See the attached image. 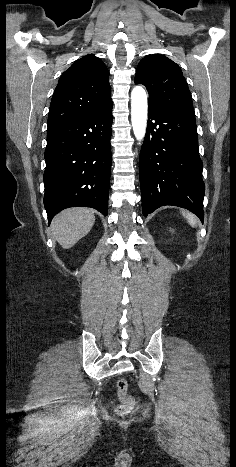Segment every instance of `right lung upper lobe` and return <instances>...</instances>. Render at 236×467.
<instances>
[{
  "label": "right lung upper lobe",
  "mask_w": 236,
  "mask_h": 467,
  "mask_svg": "<svg viewBox=\"0 0 236 467\" xmlns=\"http://www.w3.org/2000/svg\"><path fill=\"white\" fill-rule=\"evenodd\" d=\"M111 101L106 65L86 55L60 77L50 104L48 129L80 119Z\"/></svg>",
  "instance_id": "1"
}]
</instances>
